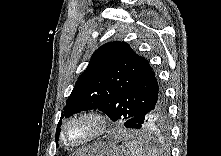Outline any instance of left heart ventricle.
<instances>
[{
	"instance_id": "1",
	"label": "left heart ventricle",
	"mask_w": 221,
	"mask_h": 156,
	"mask_svg": "<svg viewBox=\"0 0 221 156\" xmlns=\"http://www.w3.org/2000/svg\"><path fill=\"white\" fill-rule=\"evenodd\" d=\"M92 131V124L87 121L77 122L71 125L66 132V139L70 142L82 140Z\"/></svg>"
}]
</instances>
